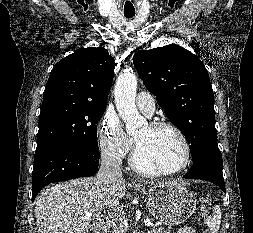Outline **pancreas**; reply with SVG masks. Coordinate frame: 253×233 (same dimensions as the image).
Instances as JSON below:
<instances>
[{
    "label": "pancreas",
    "mask_w": 253,
    "mask_h": 233,
    "mask_svg": "<svg viewBox=\"0 0 253 233\" xmlns=\"http://www.w3.org/2000/svg\"><path fill=\"white\" fill-rule=\"evenodd\" d=\"M128 228V222L123 218H119L113 223L111 233H127ZM150 230L151 233H171L170 227H164L157 223L152 224Z\"/></svg>",
    "instance_id": "pancreas-1"
}]
</instances>
